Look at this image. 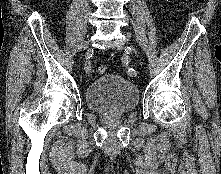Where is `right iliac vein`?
<instances>
[{
	"mask_svg": "<svg viewBox=\"0 0 221 174\" xmlns=\"http://www.w3.org/2000/svg\"><path fill=\"white\" fill-rule=\"evenodd\" d=\"M89 45H90L89 41H86L84 44V49H87L89 47Z\"/></svg>",
	"mask_w": 221,
	"mask_h": 174,
	"instance_id": "obj_1",
	"label": "right iliac vein"
}]
</instances>
